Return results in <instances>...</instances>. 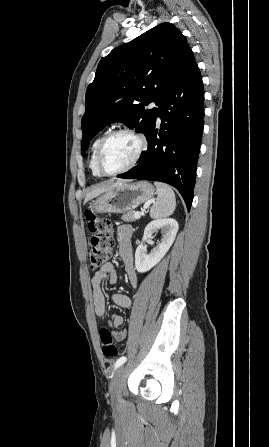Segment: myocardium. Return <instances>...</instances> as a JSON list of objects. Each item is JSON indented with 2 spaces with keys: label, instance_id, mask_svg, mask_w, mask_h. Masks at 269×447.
I'll list each match as a JSON object with an SVG mask.
<instances>
[{
  "label": "myocardium",
  "instance_id": "1",
  "mask_svg": "<svg viewBox=\"0 0 269 447\" xmlns=\"http://www.w3.org/2000/svg\"><path fill=\"white\" fill-rule=\"evenodd\" d=\"M118 133H130V134L136 136L139 139L140 145H139V148L134 156V159L131 161V163H129L127 166L117 169V170H107L104 167L103 162H102L103 151H104L105 145L108 142V140L113 135L118 134ZM147 147H148V140H147L146 135L143 132H141L140 130H138L137 128L129 127V126L116 128L114 130L107 132L103 136V138L99 144L98 150H97V159H96L97 166H98L100 172L104 175H115V174L126 172L137 165V163L143 156L144 152L146 151Z\"/></svg>",
  "mask_w": 269,
  "mask_h": 447
}]
</instances>
